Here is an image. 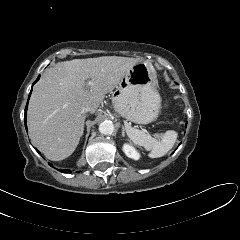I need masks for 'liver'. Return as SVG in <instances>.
Wrapping results in <instances>:
<instances>
[{
    "label": "liver",
    "instance_id": "obj_1",
    "mask_svg": "<svg viewBox=\"0 0 240 240\" xmlns=\"http://www.w3.org/2000/svg\"><path fill=\"white\" fill-rule=\"evenodd\" d=\"M138 62L137 58L103 56L59 62L48 68L29 102L27 122L32 143L52 161L69 157L83 135L82 107L89 106L94 113L105 95Z\"/></svg>",
    "mask_w": 240,
    "mask_h": 240
}]
</instances>
